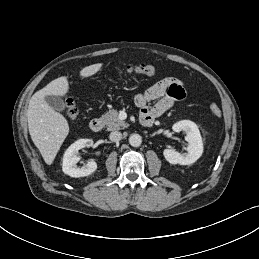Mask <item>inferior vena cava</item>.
Listing matches in <instances>:
<instances>
[{"mask_svg": "<svg viewBox=\"0 0 259 259\" xmlns=\"http://www.w3.org/2000/svg\"><path fill=\"white\" fill-rule=\"evenodd\" d=\"M109 138L113 142H118L122 139V134L119 131H113V132L110 133Z\"/></svg>", "mask_w": 259, "mask_h": 259, "instance_id": "1", "label": "inferior vena cava"}]
</instances>
